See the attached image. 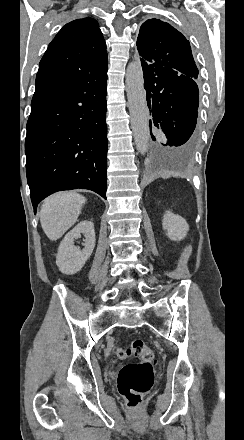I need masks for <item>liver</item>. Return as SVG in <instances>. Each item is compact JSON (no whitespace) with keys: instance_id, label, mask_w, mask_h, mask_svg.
Masks as SVG:
<instances>
[{"instance_id":"6515ba94","label":"liver","mask_w":244,"mask_h":440,"mask_svg":"<svg viewBox=\"0 0 244 440\" xmlns=\"http://www.w3.org/2000/svg\"><path fill=\"white\" fill-rule=\"evenodd\" d=\"M86 200L76 192H58L43 200L40 222L49 240H59L77 222Z\"/></svg>"}]
</instances>
